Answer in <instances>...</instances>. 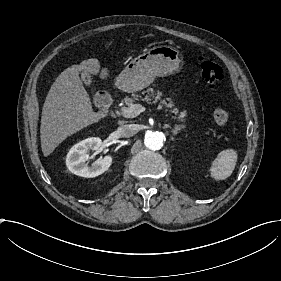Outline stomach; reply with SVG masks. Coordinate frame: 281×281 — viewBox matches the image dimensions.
Masks as SVG:
<instances>
[{
  "mask_svg": "<svg viewBox=\"0 0 281 281\" xmlns=\"http://www.w3.org/2000/svg\"><path fill=\"white\" fill-rule=\"evenodd\" d=\"M179 52L169 46L154 47L131 60L116 77L114 86L133 93L148 87L155 77H164L179 69Z\"/></svg>",
  "mask_w": 281,
  "mask_h": 281,
  "instance_id": "0dacf381",
  "label": "stomach"
}]
</instances>
